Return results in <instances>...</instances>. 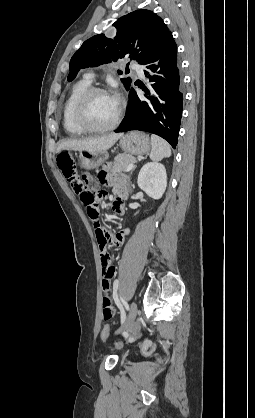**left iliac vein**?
I'll list each match as a JSON object with an SVG mask.
<instances>
[{"label":"left iliac vein","mask_w":255,"mask_h":418,"mask_svg":"<svg viewBox=\"0 0 255 418\" xmlns=\"http://www.w3.org/2000/svg\"><path fill=\"white\" fill-rule=\"evenodd\" d=\"M137 312H138L137 304L135 302H132L130 305L128 317L125 323L116 331V334L121 333L124 330H127L134 323L136 316H137Z\"/></svg>","instance_id":"1"}]
</instances>
